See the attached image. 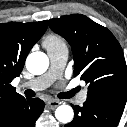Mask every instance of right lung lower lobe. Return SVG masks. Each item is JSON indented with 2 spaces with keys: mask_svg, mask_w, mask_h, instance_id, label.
<instances>
[{
  "mask_svg": "<svg viewBox=\"0 0 127 127\" xmlns=\"http://www.w3.org/2000/svg\"><path fill=\"white\" fill-rule=\"evenodd\" d=\"M44 106V102L38 98H27L1 119L0 127H34Z\"/></svg>",
  "mask_w": 127,
  "mask_h": 127,
  "instance_id": "1",
  "label": "right lung lower lobe"
}]
</instances>
